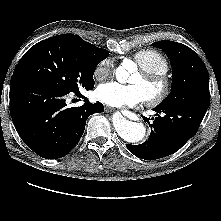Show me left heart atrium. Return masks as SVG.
<instances>
[{"label":"left heart atrium","instance_id":"obj_1","mask_svg":"<svg viewBox=\"0 0 221 221\" xmlns=\"http://www.w3.org/2000/svg\"><path fill=\"white\" fill-rule=\"evenodd\" d=\"M95 97L113 107H134L146 100V95L139 85L119 84L115 81L99 85Z\"/></svg>","mask_w":221,"mask_h":221}]
</instances>
